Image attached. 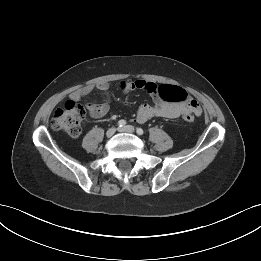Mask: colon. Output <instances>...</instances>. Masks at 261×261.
Segmentation results:
<instances>
[{
  "label": "colon",
  "mask_w": 261,
  "mask_h": 261,
  "mask_svg": "<svg viewBox=\"0 0 261 261\" xmlns=\"http://www.w3.org/2000/svg\"><path fill=\"white\" fill-rule=\"evenodd\" d=\"M159 96L162 100L172 103H184L188 100V95L184 89L173 85H163L159 87ZM84 107L76 102L68 101L62 108L55 111L51 126L53 129L63 131L71 136H78L81 132V123L85 118ZM184 120L191 122L194 120L193 113H186Z\"/></svg>",
  "instance_id": "1"
}]
</instances>
